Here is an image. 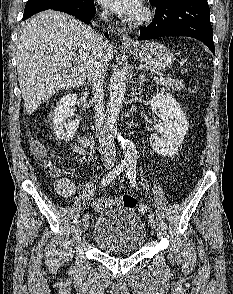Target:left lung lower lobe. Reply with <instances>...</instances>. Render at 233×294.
Wrapping results in <instances>:
<instances>
[{"label":"left lung lower lobe","instance_id":"1","mask_svg":"<svg viewBox=\"0 0 233 294\" xmlns=\"http://www.w3.org/2000/svg\"><path fill=\"white\" fill-rule=\"evenodd\" d=\"M153 21L140 29V40L163 36H189L215 53L207 0H157Z\"/></svg>","mask_w":233,"mask_h":294}]
</instances>
